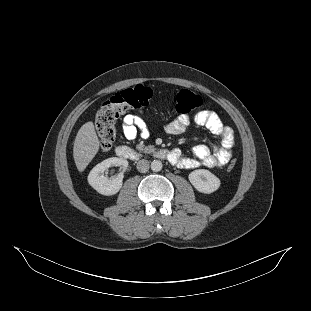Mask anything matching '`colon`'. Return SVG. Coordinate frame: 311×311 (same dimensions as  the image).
Instances as JSON below:
<instances>
[{
    "label": "colon",
    "instance_id": "colon-1",
    "mask_svg": "<svg viewBox=\"0 0 311 311\" xmlns=\"http://www.w3.org/2000/svg\"><path fill=\"white\" fill-rule=\"evenodd\" d=\"M153 97L149 87L137 85L115 94L101 105L95 116V127L103 151H109L115 141V121L130 110L149 106ZM171 102L175 111L184 115L200 107L202 98L195 92L182 89L175 93ZM236 163V159H232L227 170H233Z\"/></svg>",
    "mask_w": 311,
    "mask_h": 311
}]
</instances>
